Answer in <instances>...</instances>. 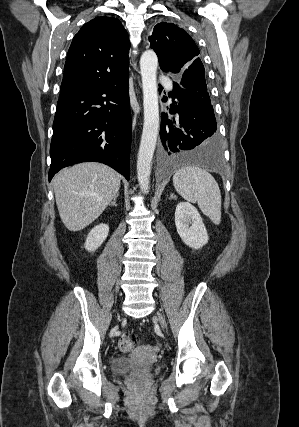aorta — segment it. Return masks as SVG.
Instances as JSON below:
<instances>
[{
    "instance_id": "762f6f07",
    "label": "aorta",
    "mask_w": 299,
    "mask_h": 427,
    "mask_svg": "<svg viewBox=\"0 0 299 427\" xmlns=\"http://www.w3.org/2000/svg\"><path fill=\"white\" fill-rule=\"evenodd\" d=\"M157 66L156 53L153 50L145 51L140 58L144 124L137 157V178L140 189L144 193H147L150 188L151 164L159 130Z\"/></svg>"
}]
</instances>
